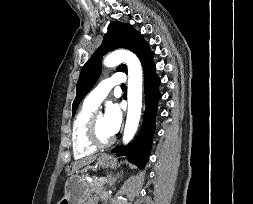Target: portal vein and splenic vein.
Wrapping results in <instances>:
<instances>
[{"instance_id":"portal-vein-and-splenic-vein-1","label":"portal vein and splenic vein","mask_w":253,"mask_h":204,"mask_svg":"<svg viewBox=\"0 0 253 204\" xmlns=\"http://www.w3.org/2000/svg\"><path fill=\"white\" fill-rule=\"evenodd\" d=\"M97 181L104 183L106 181V179L101 177V178H98Z\"/></svg>"}]
</instances>
